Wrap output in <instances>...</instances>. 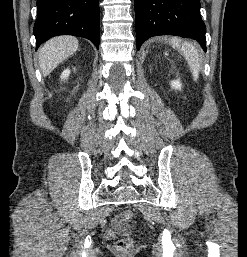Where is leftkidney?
Listing matches in <instances>:
<instances>
[{
	"mask_svg": "<svg viewBox=\"0 0 247 257\" xmlns=\"http://www.w3.org/2000/svg\"><path fill=\"white\" fill-rule=\"evenodd\" d=\"M171 87L174 88L175 90H181L182 84L180 82V79L172 81Z\"/></svg>",
	"mask_w": 247,
	"mask_h": 257,
	"instance_id": "5707ae66",
	"label": "left kidney"
}]
</instances>
